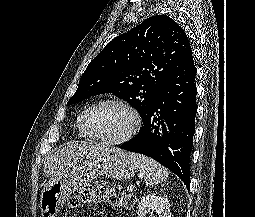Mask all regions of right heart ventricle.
Wrapping results in <instances>:
<instances>
[{
  "mask_svg": "<svg viewBox=\"0 0 255 217\" xmlns=\"http://www.w3.org/2000/svg\"><path fill=\"white\" fill-rule=\"evenodd\" d=\"M83 114L84 112H82L78 117H77V121H76V126L78 129V134L81 138H85L88 139L90 138V136L87 134V132L85 131L84 127H83Z\"/></svg>",
  "mask_w": 255,
  "mask_h": 217,
  "instance_id": "obj_1",
  "label": "right heart ventricle"
}]
</instances>
